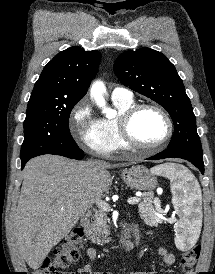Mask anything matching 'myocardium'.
<instances>
[{
    "label": "myocardium",
    "instance_id": "obj_1",
    "mask_svg": "<svg viewBox=\"0 0 215 274\" xmlns=\"http://www.w3.org/2000/svg\"><path fill=\"white\" fill-rule=\"evenodd\" d=\"M144 109H151L158 112L165 120L167 131L165 136L158 142L154 144H142L139 143L133 136L131 131V124L135 116ZM118 130L121 136L122 141L126 145L127 148L137 149V150H156L164 146L172 137L174 132V126L172 119L168 112L156 104L151 103H140L133 104L125 111H123L118 118Z\"/></svg>",
    "mask_w": 215,
    "mask_h": 274
}]
</instances>
